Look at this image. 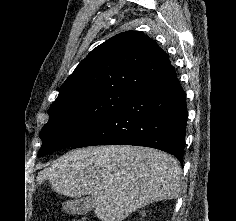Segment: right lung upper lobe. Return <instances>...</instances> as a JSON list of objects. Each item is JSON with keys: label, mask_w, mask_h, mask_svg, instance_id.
Returning <instances> with one entry per match:
<instances>
[{"label": "right lung upper lobe", "mask_w": 236, "mask_h": 221, "mask_svg": "<svg viewBox=\"0 0 236 221\" xmlns=\"http://www.w3.org/2000/svg\"><path fill=\"white\" fill-rule=\"evenodd\" d=\"M167 54L138 31L115 35L80 62L51 106L115 88L138 91L172 69Z\"/></svg>", "instance_id": "cb5924a9"}]
</instances>
